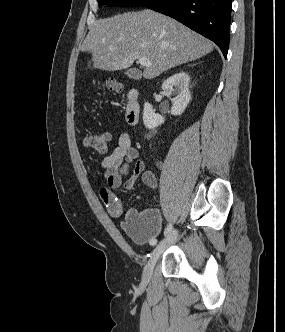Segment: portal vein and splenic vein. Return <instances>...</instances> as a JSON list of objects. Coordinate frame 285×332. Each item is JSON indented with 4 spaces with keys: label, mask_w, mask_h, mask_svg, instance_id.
<instances>
[{
    "label": "portal vein and splenic vein",
    "mask_w": 285,
    "mask_h": 332,
    "mask_svg": "<svg viewBox=\"0 0 285 332\" xmlns=\"http://www.w3.org/2000/svg\"><path fill=\"white\" fill-rule=\"evenodd\" d=\"M110 51H114V48H110ZM139 63L146 67L151 66V62L146 58H140Z\"/></svg>",
    "instance_id": "1"
}]
</instances>
